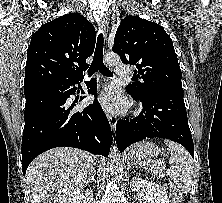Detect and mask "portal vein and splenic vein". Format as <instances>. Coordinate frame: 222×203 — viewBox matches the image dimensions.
<instances>
[{"label":"portal vein and splenic vein","mask_w":222,"mask_h":203,"mask_svg":"<svg viewBox=\"0 0 222 203\" xmlns=\"http://www.w3.org/2000/svg\"><path fill=\"white\" fill-rule=\"evenodd\" d=\"M161 163H163V161H161V160L157 162L158 165ZM143 164L145 165V163H143Z\"/></svg>","instance_id":"portal-vein-and-splenic-vein-1"}]
</instances>
